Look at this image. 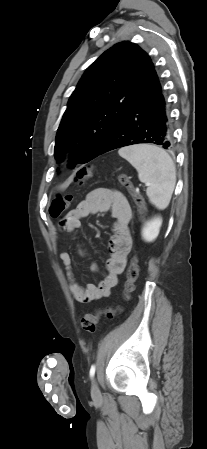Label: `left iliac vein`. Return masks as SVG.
<instances>
[{
    "label": "left iliac vein",
    "instance_id": "left-iliac-vein-1",
    "mask_svg": "<svg viewBox=\"0 0 207 449\" xmlns=\"http://www.w3.org/2000/svg\"><path fill=\"white\" fill-rule=\"evenodd\" d=\"M91 396L93 399H99L101 396L100 389L95 379L92 381L91 385Z\"/></svg>",
    "mask_w": 207,
    "mask_h": 449
}]
</instances>
